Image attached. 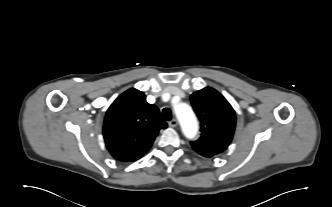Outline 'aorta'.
Segmentation results:
<instances>
[{
    "label": "aorta",
    "mask_w": 332,
    "mask_h": 207,
    "mask_svg": "<svg viewBox=\"0 0 332 207\" xmlns=\"http://www.w3.org/2000/svg\"><path fill=\"white\" fill-rule=\"evenodd\" d=\"M174 111L184 135L189 139L194 138L198 131V122L191 107L186 103H179L174 106Z\"/></svg>",
    "instance_id": "762f6f07"
}]
</instances>
